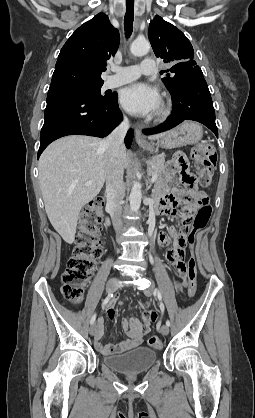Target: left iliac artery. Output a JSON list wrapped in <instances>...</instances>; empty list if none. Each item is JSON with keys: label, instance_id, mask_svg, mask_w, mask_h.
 Returning a JSON list of instances; mask_svg holds the SVG:
<instances>
[{"label": "left iliac artery", "instance_id": "44dca946", "mask_svg": "<svg viewBox=\"0 0 255 418\" xmlns=\"http://www.w3.org/2000/svg\"><path fill=\"white\" fill-rule=\"evenodd\" d=\"M155 291L157 292V295H158L159 299H161V294H160L159 290L156 289ZM166 325L170 326V321L169 320L166 321Z\"/></svg>", "mask_w": 255, "mask_h": 418}]
</instances>
